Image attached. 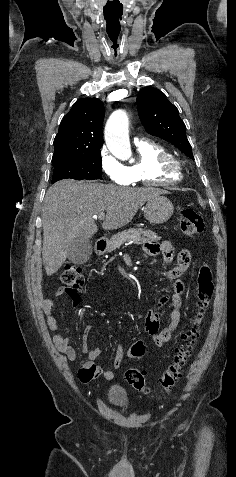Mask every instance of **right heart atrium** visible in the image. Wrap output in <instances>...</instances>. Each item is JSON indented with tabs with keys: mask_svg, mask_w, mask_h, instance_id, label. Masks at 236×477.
Returning a JSON list of instances; mask_svg holds the SVG:
<instances>
[{
	"mask_svg": "<svg viewBox=\"0 0 236 477\" xmlns=\"http://www.w3.org/2000/svg\"><path fill=\"white\" fill-rule=\"evenodd\" d=\"M100 165L102 171L112 182L123 186L130 182L127 167L117 160L106 146L101 149Z\"/></svg>",
	"mask_w": 236,
	"mask_h": 477,
	"instance_id": "d8ad5b80",
	"label": "right heart atrium"
}]
</instances>
